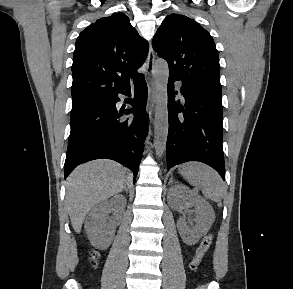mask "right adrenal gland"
<instances>
[{
	"instance_id": "2a0ac1e0",
	"label": "right adrenal gland",
	"mask_w": 293,
	"mask_h": 289,
	"mask_svg": "<svg viewBox=\"0 0 293 289\" xmlns=\"http://www.w3.org/2000/svg\"><path fill=\"white\" fill-rule=\"evenodd\" d=\"M123 191H125L126 193H128V188H127V186H125L124 189H123L121 192H123Z\"/></svg>"
}]
</instances>
